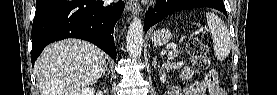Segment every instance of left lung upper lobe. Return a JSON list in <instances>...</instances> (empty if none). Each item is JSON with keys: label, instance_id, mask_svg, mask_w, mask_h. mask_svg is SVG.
<instances>
[{"label": "left lung upper lobe", "instance_id": "1", "mask_svg": "<svg viewBox=\"0 0 277 95\" xmlns=\"http://www.w3.org/2000/svg\"><path fill=\"white\" fill-rule=\"evenodd\" d=\"M210 1L213 3H223V0H210ZM178 5L181 7H185L187 9L197 8L201 6L199 3H197V0H180Z\"/></svg>", "mask_w": 277, "mask_h": 95}]
</instances>
